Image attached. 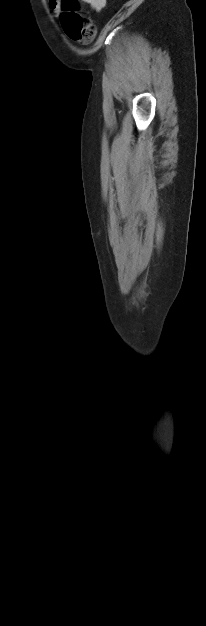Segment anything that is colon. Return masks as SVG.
Here are the masks:
<instances>
[{"label": "colon", "instance_id": "5ec220e1", "mask_svg": "<svg viewBox=\"0 0 206 626\" xmlns=\"http://www.w3.org/2000/svg\"><path fill=\"white\" fill-rule=\"evenodd\" d=\"M78 8L77 0H61L62 26L71 39L90 43L96 35V27L89 18L79 14Z\"/></svg>", "mask_w": 206, "mask_h": 626}]
</instances>
